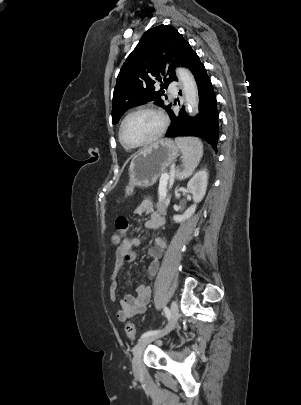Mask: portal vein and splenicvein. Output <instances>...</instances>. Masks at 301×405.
<instances>
[{"label":"portal vein and splenic vein","mask_w":301,"mask_h":405,"mask_svg":"<svg viewBox=\"0 0 301 405\" xmlns=\"http://www.w3.org/2000/svg\"><path fill=\"white\" fill-rule=\"evenodd\" d=\"M169 179L173 180V177L169 176L168 173L162 174V176H161V182H163L164 184H166ZM166 193H167V192H166V188H163V189H160V190H159V194H160L162 197H165V196H166Z\"/></svg>","instance_id":"1"}]
</instances>
